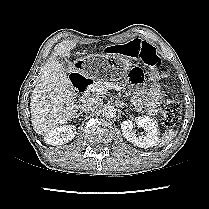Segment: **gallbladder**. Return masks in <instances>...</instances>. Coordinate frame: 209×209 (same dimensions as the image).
I'll return each mask as SVG.
<instances>
[{"label": "gallbladder", "mask_w": 209, "mask_h": 209, "mask_svg": "<svg viewBox=\"0 0 209 209\" xmlns=\"http://www.w3.org/2000/svg\"><path fill=\"white\" fill-rule=\"evenodd\" d=\"M58 61L62 64L64 68H70L69 62L62 56L57 57Z\"/></svg>", "instance_id": "gallbladder-1"}]
</instances>
